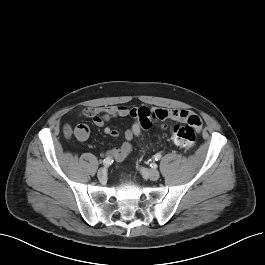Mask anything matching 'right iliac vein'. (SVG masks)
Returning <instances> with one entry per match:
<instances>
[{"label":"right iliac vein","instance_id":"63e3f726","mask_svg":"<svg viewBox=\"0 0 265 265\" xmlns=\"http://www.w3.org/2000/svg\"><path fill=\"white\" fill-rule=\"evenodd\" d=\"M97 176L98 178L101 180V181H104L106 180V177H107V174H106V170L104 169H100L97 173Z\"/></svg>","mask_w":265,"mask_h":265}]
</instances>
